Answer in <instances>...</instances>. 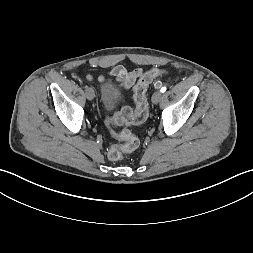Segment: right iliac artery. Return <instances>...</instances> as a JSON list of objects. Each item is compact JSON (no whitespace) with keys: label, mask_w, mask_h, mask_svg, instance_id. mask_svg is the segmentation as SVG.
Wrapping results in <instances>:
<instances>
[{"label":"right iliac artery","mask_w":253,"mask_h":253,"mask_svg":"<svg viewBox=\"0 0 253 253\" xmlns=\"http://www.w3.org/2000/svg\"><path fill=\"white\" fill-rule=\"evenodd\" d=\"M84 88L87 90V89H88V86L86 85V86H84Z\"/></svg>","instance_id":"right-iliac-artery-1"}]
</instances>
